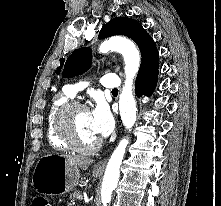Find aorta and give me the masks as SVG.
Returning a JSON list of instances; mask_svg holds the SVG:
<instances>
[{
    "mask_svg": "<svg viewBox=\"0 0 221 206\" xmlns=\"http://www.w3.org/2000/svg\"><path fill=\"white\" fill-rule=\"evenodd\" d=\"M116 51L122 54L125 62V84L119 98V110L123 125L126 129L132 128L136 121V103L133 95V83L140 67V53L135 44L122 36H112L104 40L100 47V53ZM128 139H122L112 153L104 173L101 187V201L103 206L111 202L112 192L116 189Z\"/></svg>",
    "mask_w": 221,
    "mask_h": 206,
    "instance_id": "obj_1",
    "label": "aorta"
}]
</instances>
